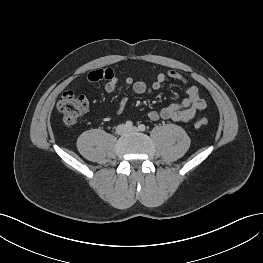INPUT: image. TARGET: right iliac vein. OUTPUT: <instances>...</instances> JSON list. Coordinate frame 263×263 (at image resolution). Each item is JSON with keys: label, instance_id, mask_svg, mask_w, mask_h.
<instances>
[{"label": "right iliac vein", "instance_id": "obj_1", "mask_svg": "<svg viewBox=\"0 0 263 263\" xmlns=\"http://www.w3.org/2000/svg\"><path fill=\"white\" fill-rule=\"evenodd\" d=\"M127 132V127L125 125H120L117 127L118 134H125Z\"/></svg>", "mask_w": 263, "mask_h": 263}]
</instances>
